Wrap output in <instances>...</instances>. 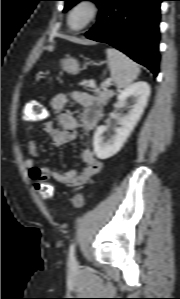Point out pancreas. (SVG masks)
<instances>
[{"instance_id":"cf45deb5","label":"pancreas","mask_w":180,"mask_h":299,"mask_svg":"<svg viewBox=\"0 0 180 299\" xmlns=\"http://www.w3.org/2000/svg\"><path fill=\"white\" fill-rule=\"evenodd\" d=\"M112 96H113V92L108 91L106 89H103L102 91H97L96 92V100L101 102V103L107 102Z\"/></svg>"}]
</instances>
